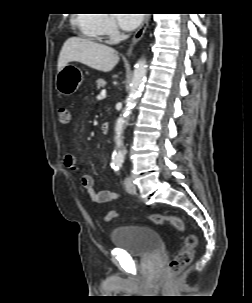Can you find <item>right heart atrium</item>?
I'll return each instance as SVG.
<instances>
[{
	"label": "right heart atrium",
	"mask_w": 252,
	"mask_h": 303,
	"mask_svg": "<svg viewBox=\"0 0 252 303\" xmlns=\"http://www.w3.org/2000/svg\"><path fill=\"white\" fill-rule=\"evenodd\" d=\"M100 31L108 38L109 42L115 40L117 35V26L109 14H102L98 21Z\"/></svg>",
	"instance_id": "right-heart-atrium-1"
}]
</instances>
